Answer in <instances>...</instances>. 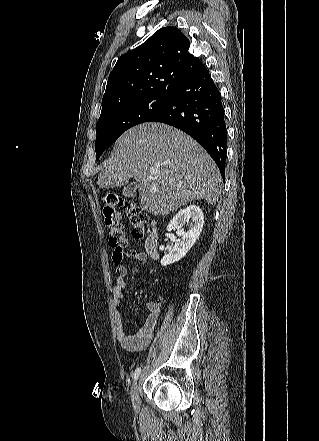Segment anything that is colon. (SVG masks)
<instances>
[{
	"mask_svg": "<svg viewBox=\"0 0 319 441\" xmlns=\"http://www.w3.org/2000/svg\"><path fill=\"white\" fill-rule=\"evenodd\" d=\"M118 209L127 215L131 234L135 239H142L147 221L146 214L133 200L115 192L105 196L102 206L103 222L108 230V244L113 249L112 258L115 264L122 261L127 244V236L120 222Z\"/></svg>",
	"mask_w": 319,
	"mask_h": 441,
	"instance_id": "colon-1",
	"label": "colon"
}]
</instances>
